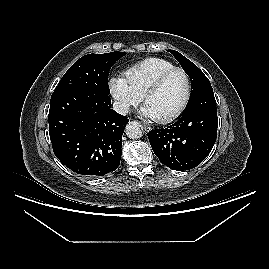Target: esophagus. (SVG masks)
I'll list each match as a JSON object with an SVG mask.
<instances>
[{
  "instance_id": "34e87169",
  "label": "esophagus",
  "mask_w": 269,
  "mask_h": 269,
  "mask_svg": "<svg viewBox=\"0 0 269 269\" xmlns=\"http://www.w3.org/2000/svg\"><path fill=\"white\" fill-rule=\"evenodd\" d=\"M143 127H144V129H145L146 131H150V130H151V127L148 126V125L143 124Z\"/></svg>"
}]
</instances>
